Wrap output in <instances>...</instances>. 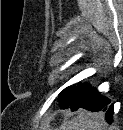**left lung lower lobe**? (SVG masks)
I'll return each instance as SVG.
<instances>
[{
  "label": "left lung lower lobe",
  "mask_w": 123,
  "mask_h": 130,
  "mask_svg": "<svg viewBox=\"0 0 123 130\" xmlns=\"http://www.w3.org/2000/svg\"><path fill=\"white\" fill-rule=\"evenodd\" d=\"M61 108L67 109L66 107ZM78 108H84L93 112L103 111L105 112L106 121L109 124L113 122V103L111 104L110 99L100 95L90 85L85 87L80 102L71 110L76 111Z\"/></svg>",
  "instance_id": "0a47b994"
}]
</instances>
